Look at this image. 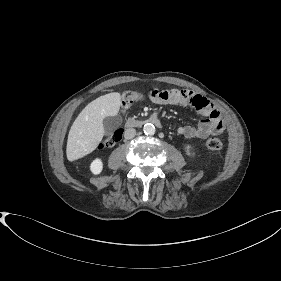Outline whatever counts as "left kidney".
Segmentation results:
<instances>
[{"label":"left kidney","mask_w":281,"mask_h":281,"mask_svg":"<svg viewBox=\"0 0 281 281\" xmlns=\"http://www.w3.org/2000/svg\"><path fill=\"white\" fill-rule=\"evenodd\" d=\"M185 150H186L187 155L190 156L192 154V147H191V145L186 144L185 145Z\"/></svg>","instance_id":"obj_1"}]
</instances>
